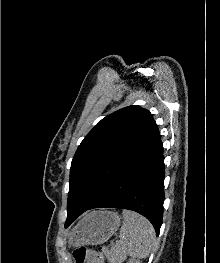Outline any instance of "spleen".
Listing matches in <instances>:
<instances>
[{
  "mask_svg": "<svg viewBox=\"0 0 220 263\" xmlns=\"http://www.w3.org/2000/svg\"><path fill=\"white\" fill-rule=\"evenodd\" d=\"M122 213L124 221L116 250L132 258H146L155 242V231L152 224L136 212L123 210Z\"/></svg>",
  "mask_w": 220,
  "mask_h": 263,
  "instance_id": "obj_1",
  "label": "spleen"
}]
</instances>
